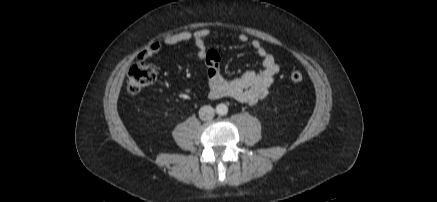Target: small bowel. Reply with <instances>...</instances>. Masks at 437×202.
<instances>
[{"instance_id": "1", "label": "small bowel", "mask_w": 437, "mask_h": 202, "mask_svg": "<svg viewBox=\"0 0 437 202\" xmlns=\"http://www.w3.org/2000/svg\"><path fill=\"white\" fill-rule=\"evenodd\" d=\"M210 36L211 31L208 29L170 34L165 36L162 42H153L146 46L138 54V59L146 60L159 53L163 45L173 46L184 42H194L198 58L203 60L207 67L208 96L211 99L232 98L241 103L252 105L265 98L275 76L280 71V65L274 55L259 40H250L246 34H240L239 41L250 44L262 60L263 68L258 72L248 70L239 76L228 78L221 73L219 54L206 46Z\"/></svg>"}]
</instances>
